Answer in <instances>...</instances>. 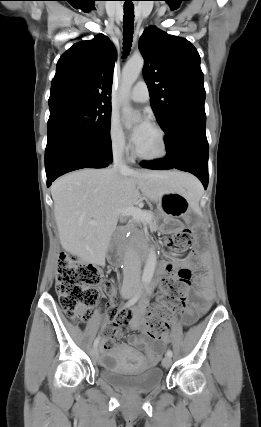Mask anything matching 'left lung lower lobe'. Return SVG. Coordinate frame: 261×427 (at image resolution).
Here are the masks:
<instances>
[{"mask_svg": "<svg viewBox=\"0 0 261 427\" xmlns=\"http://www.w3.org/2000/svg\"><path fill=\"white\" fill-rule=\"evenodd\" d=\"M206 114L186 111L177 115L164 130L167 156L143 161L142 167L156 170L178 169L194 174L208 186L209 147L205 134Z\"/></svg>", "mask_w": 261, "mask_h": 427, "instance_id": "1", "label": "left lung lower lobe"}]
</instances>
